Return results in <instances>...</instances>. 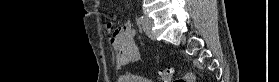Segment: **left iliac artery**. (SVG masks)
Listing matches in <instances>:
<instances>
[{
    "label": "left iliac artery",
    "instance_id": "left-iliac-artery-1",
    "mask_svg": "<svg viewBox=\"0 0 279 82\" xmlns=\"http://www.w3.org/2000/svg\"><path fill=\"white\" fill-rule=\"evenodd\" d=\"M137 20H138V22L143 23L145 21V17L139 16Z\"/></svg>",
    "mask_w": 279,
    "mask_h": 82
}]
</instances>
